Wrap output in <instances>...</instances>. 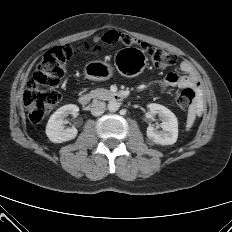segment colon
<instances>
[{
  "label": "colon",
  "mask_w": 232,
  "mask_h": 232,
  "mask_svg": "<svg viewBox=\"0 0 232 232\" xmlns=\"http://www.w3.org/2000/svg\"><path fill=\"white\" fill-rule=\"evenodd\" d=\"M121 43L125 46H139L158 68H166L177 62L176 54L137 40L126 33L111 30L106 32L89 48L98 51L103 46ZM77 48L72 45H59L50 49L36 67L27 83L23 94V102L28 111L31 123L37 124L53 109L59 101V87L67 68V63L75 54ZM194 98V91L190 88L182 90L176 99L181 109H187Z\"/></svg>",
  "instance_id": "1"
}]
</instances>
